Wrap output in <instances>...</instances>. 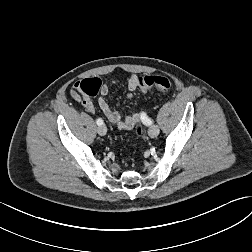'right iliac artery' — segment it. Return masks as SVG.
I'll use <instances>...</instances> for the list:
<instances>
[{"mask_svg": "<svg viewBox=\"0 0 252 252\" xmlns=\"http://www.w3.org/2000/svg\"><path fill=\"white\" fill-rule=\"evenodd\" d=\"M96 123H97V125H102L103 124V120L101 119V118H98L97 120H96Z\"/></svg>", "mask_w": 252, "mask_h": 252, "instance_id": "right-iliac-artery-1", "label": "right iliac artery"}]
</instances>
